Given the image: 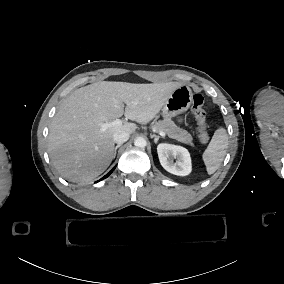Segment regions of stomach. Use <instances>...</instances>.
<instances>
[{"label":"stomach","mask_w":284,"mask_h":284,"mask_svg":"<svg viewBox=\"0 0 284 284\" xmlns=\"http://www.w3.org/2000/svg\"><path fill=\"white\" fill-rule=\"evenodd\" d=\"M193 101L191 88L181 85L175 89L163 105L164 117H172L187 111Z\"/></svg>","instance_id":"0dacf381"}]
</instances>
